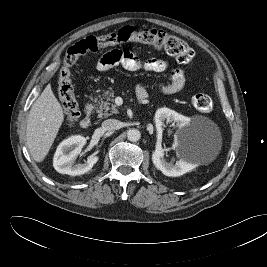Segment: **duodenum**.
<instances>
[{
	"label": "duodenum",
	"mask_w": 267,
	"mask_h": 267,
	"mask_svg": "<svg viewBox=\"0 0 267 267\" xmlns=\"http://www.w3.org/2000/svg\"><path fill=\"white\" fill-rule=\"evenodd\" d=\"M147 97H141L139 100L144 101ZM92 110V104L89 102L86 105V111L90 112ZM91 124V116L87 114L84 116V118L81 120L80 125L82 128H88Z\"/></svg>",
	"instance_id": "duodenum-1"
}]
</instances>
